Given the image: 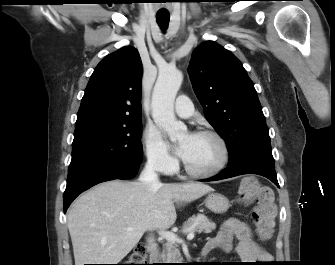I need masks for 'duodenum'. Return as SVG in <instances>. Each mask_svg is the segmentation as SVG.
<instances>
[{"instance_id":"duodenum-1","label":"duodenum","mask_w":335,"mask_h":265,"mask_svg":"<svg viewBox=\"0 0 335 265\" xmlns=\"http://www.w3.org/2000/svg\"><path fill=\"white\" fill-rule=\"evenodd\" d=\"M209 251H210L209 248L204 247V249H203V251H202V255H203V256L206 255Z\"/></svg>"}]
</instances>
